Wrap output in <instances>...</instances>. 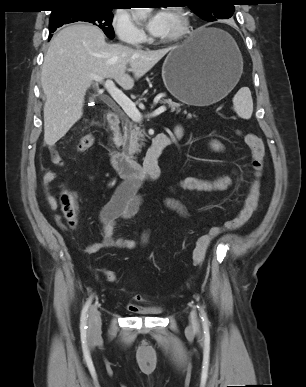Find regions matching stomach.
<instances>
[{"label": "stomach", "mask_w": 306, "mask_h": 387, "mask_svg": "<svg viewBox=\"0 0 306 387\" xmlns=\"http://www.w3.org/2000/svg\"><path fill=\"white\" fill-rule=\"evenodd\" d=\"M242 70V55L234 39L220 29L201 27L170 51L162 66V78L181 102L208 106L235 87Z\"/></svg>", "instance_id": "stomach-1"}]
</instances>
